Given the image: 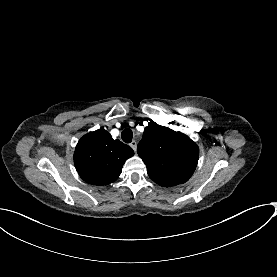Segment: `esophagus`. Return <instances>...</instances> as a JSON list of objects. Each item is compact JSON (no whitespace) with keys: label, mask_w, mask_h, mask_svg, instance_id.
<instances>
[{"label":"esophagus","mask_w":277,"mask_h":277,"mask_svg":"<svg viewBox=\"0 0 277 277\" xmlns=\"http://www.w3.org/2000/svg\"><path fill=\"white\" fill-rule=\"evenodd\" d=\"M129 145H130V147H132V149L134 151H136V149H137V142L135 140L131 141V143Z\"/></svg>","instance_id":"obj_1"}]
</instances>
